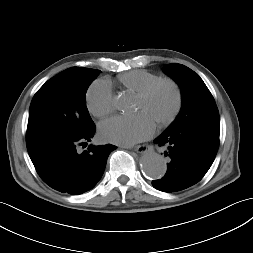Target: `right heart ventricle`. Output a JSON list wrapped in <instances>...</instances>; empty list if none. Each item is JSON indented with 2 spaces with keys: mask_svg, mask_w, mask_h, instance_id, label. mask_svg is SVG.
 <instances>
[{
  "mask_svg": "<svg viewBox=\"0 0 253 253\" xmlns=\"http://www.w3.org/2000/svg\"><path fill=\"white\" fill-rule=\"evenodd\" d=\"M160 77L146 70H131L118 76V83L125 89L138 93Z\"/></svg>",
  "mask_w": 253,
  "mask_h": 253,
  "instance_id": "obj_1",
  "label": "right heart ventricle"
}]
</instances>
